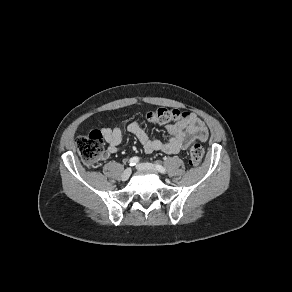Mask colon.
Masks as SVG:
<instances>
[{
    "mask_svg": "<svg viewBox=\"0 0 292 292\" xmlns=\"http://www.w3.org/2000/svg\"><path fill=\"white\" fill-rule=\"evenodd\" d=\"M180 115V110L159 108L149 112L147 119L151 122H165L177 119ZM76 146L80 157L87 165H95L105 156L103 135L98 130L77 137ZM203 157V146L199 142H194L189 149V164L197 166L202 162Z\"/></svg>",
    "mask_w": 292,
    "mask_h": 292,
    "instance_id": "1",
    "label": "colon"
}]
</instances>
